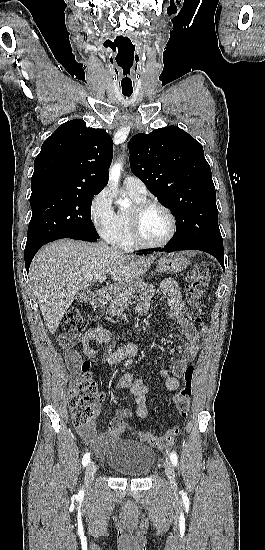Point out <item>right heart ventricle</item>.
Returning <instances> with one entry per match:
<instances>
[{
    "mask_svg": "<svg viewBox=\"0 0 265 550\" xmlns=\"http://www.w3.org/2000/svg\"><path fill=\"white\" fill-rule=\"evenodd\" d=\"M127 193L135 204L146 201V197L128 191ZM116 218V230L109 242L123 250L130 251L136 247L130 232V210L120 209L116 213Z\"/></svg>",
    "mask_w": 265,
    "mask_h": 550,
    "instance_id": "obj_1",
    "label": "right heart ventricle"
}]
</instances>
